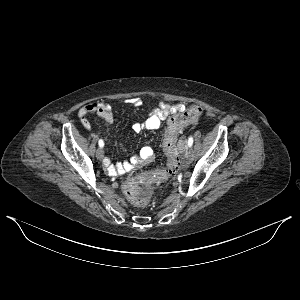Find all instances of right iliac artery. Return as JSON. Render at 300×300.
I'll list each match as a JSON object with an SVG mask.
<instances>
[{"label": "right iliac artery", "instance_id": "1", "mask_svg": "<svg viewBox=\"0 0 300 300\" xmlns=\"http://www.w3.org/2000/svg\"><path fill=\"white\" fill-rule=\"evenodd\" d=\"M98 144H99V147H101V148H103V147H104V142H103V140H102V139H100V140H99V143H98Z\"/></svg>", "mask_w": 300, "mask_h": 300}]
</instances>
